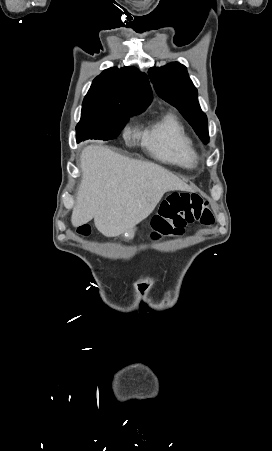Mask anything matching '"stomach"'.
Segmentation results:
<instances>
[{"label":"stomach","instance_id":"stomach-1","mask_svg":"<svg viewBox=\"0 0 272 451\" xmlns=\"http://www.w3.org/2000/svg\"><path fill=\"white\" fill-rule=\"evenodd\" d=\"M137 227H131V229H125L124 231V235L125 237H128V239H132V237H134L135 235V231H136Z\"/></svg>","mask_w":272,"mask_h":451}]
</instances>
